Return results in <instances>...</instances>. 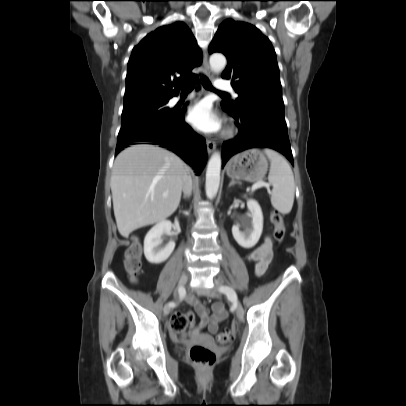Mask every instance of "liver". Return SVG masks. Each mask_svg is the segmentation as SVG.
<instances>
[{"label": "liver", "instance_id": "1", "mask_svg": "<svg viewBox=\"0 0 406 406\" xmlns=\"http://www.w3.org/2000/svg\"><path fill=\"white\" fill-rule=\"evenodd\" d=\"M186 169L178 156L149 144L133 145L116 157L111 192L117 228L123 237L175 212ZM164 193L168 195L164 197Z\"/></svg>", "mask_w": 406, "mask_h": 406}]
</instances>
